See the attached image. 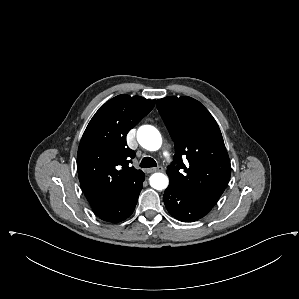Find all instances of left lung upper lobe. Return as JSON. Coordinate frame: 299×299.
<instances>
[{"mask_svg": "<svg viewBox=\"0 0 299 299\" xmlns=\"http://www.w3.org/2000/svg\"><path fill=\"white\" fill-rule=\"evenodd\" d=\"M157 109L174 141L171 183L211 206L228 185L231 164L223 137L213 116L197 100L182 96L157 100ZM186 157L189 165L183 163ZM183 169L184 173L179 170Z\"/></svg>", "mask_w": 299, "mask_h": 299, "instance_id": "1", "label": "left lung upper lobe"}]
</instances>
